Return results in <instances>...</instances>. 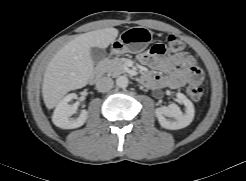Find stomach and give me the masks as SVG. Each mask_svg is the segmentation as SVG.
<instances>
[{"mask_svg": "<svg viewBox=\"0 0 246 181\" xmlns=\"http://www.w3.org/2000/svg\"><path fill=\"white\" fill-rule=\"evenodd\" d=\"M152 33L144 27H131L121 33L111 44V54L140 53L151 43Z\"/></svg>", "mask_w": 246, "mask_h": 181, "instance_id": "obj_1", "label": "stomach"}]
</instances>
